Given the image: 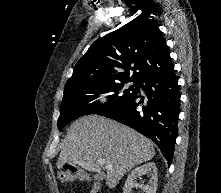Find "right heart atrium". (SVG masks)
<instances>
[{"mask_svg": "<svg viewBox=\"0 0 221 193\" xmlns=\"http://www.w3.org/2000/svg\"><path fill=\"white\" fill-rule=\"evenodd\" d=\"M94 101L101 107H109L113 103V96L107 90H98L93 94Z\"/></svg>", "mask_w": 221, "mask_h": 193, "instance_id": "d8ad5b80", "label": "right heart atrium"}]
</instances>
